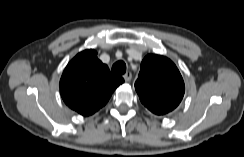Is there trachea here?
I'll use <instances>...</instances> for the list:
<instances>
[{"label": "trachea", "mask_w": 244, "mask_h": 157, "mask_svg": "<svg viewBox=\"0 0 244 157\" xmlns=\"http://www.w3.org/2000/svg\"><path fill=\"white\" fill-rule=\"evenodd\" d=\"M112 72L115 74L122 75L126 72V64L124 61H117L112 66Z\"/></svg>", "instance_id": "trachea-1"}]
</instances>
